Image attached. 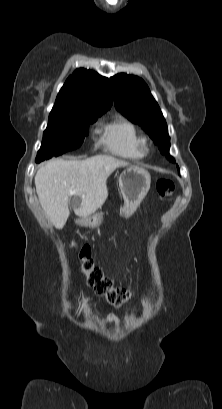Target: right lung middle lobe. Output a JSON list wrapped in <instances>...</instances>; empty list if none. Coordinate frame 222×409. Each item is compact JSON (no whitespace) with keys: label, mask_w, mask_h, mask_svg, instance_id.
Listing matches in <instances>:
<instances>
[{"label":"right lung middle lobe","mask_w":222,"mask_h":409,"mask_svg":"<svg viewBox=\"0 0 222 409\" xmlns=\"http://www.w3.org/2000/svg\"><path fill=\"white\" fill-rule=\"evenodd\" d=\"M104 112V110L91 108L51 112L35 161L40 163L80 147L85 136L88 135L89 125L94 123Z\"/></svg>","instance_id":"right-lung-middle-lobe-1"}]
</instances>
